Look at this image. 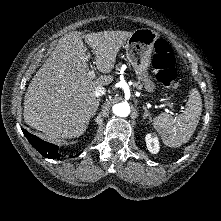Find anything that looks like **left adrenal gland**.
<instances>
[{
    "instance_id": "left-adrenal-gland-1",
    "label": "left adrenal gland",
    "mask_w": 221,
    "mask_h": 221,
    "mask_svg": "<svg viewBox=\"0 0 221 221\" xmlns=\"http://www.w3.org/2000/svg\"><path fill=\"white\" fill-rule=\"evenodd\" d=\"M143 109H144L143 119H146L147 117H149V120H151V116H150V113L148 112L147 108L145 106H143Z\"/></svg>"
}]
</instances>
